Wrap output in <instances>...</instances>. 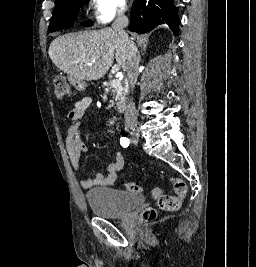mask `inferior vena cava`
Masks as SVG:
<instances>
[{"label": "inferior vena cava", "mask_w": 256, "mask_h": 267, "mask_svg": "<svg viewBox=\"0 0 256 267\" xmlns=\"http://www.w3.org/2000/svg\"><path fill=\"white\" fill-rule=\"evenodd\" d=\"M126 8H121L117 14L116 20H114L112 24V28L114 32H117L118 36H122L125 38L126 42L129 44V52H128V62H127V84L129 86V90H133L138 76V64L140 62V56H137V48L134 42H131L128 38V34H126L124 28H127L129 24V20L127 16H125ZM137 126V116H136V108L134 102L132 100H128L126 104L125 110V128H136Z\"/></svg>", "instance_id": "inferior-vena-cava-1"}]
</instances>
